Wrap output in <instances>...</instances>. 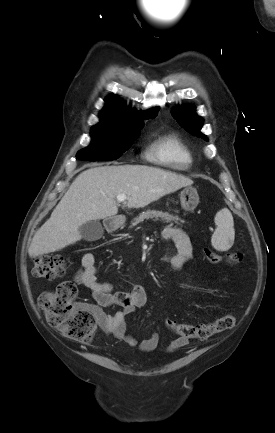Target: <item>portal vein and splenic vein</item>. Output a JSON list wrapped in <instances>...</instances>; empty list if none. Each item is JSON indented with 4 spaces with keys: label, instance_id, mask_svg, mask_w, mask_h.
Listing matches in <instances>:
<instances>
[{
    "label": "portal vein and splenic vein",
    "instance_id": "obj_1",
    "mask_svg": "<svg viewBox=\"0 0 275 433\" xmlns=\"http://www.w3.org/2000/svg\"><path fill=\"white\" fill-rule=\"evenodd\" d=\"M126 199H127V196L124 195V194H119V195L117 196V201H118V202H124Z\"/></svg>",
    "mask_w": 275,
    "mask_h": 433
}]
</instances>
